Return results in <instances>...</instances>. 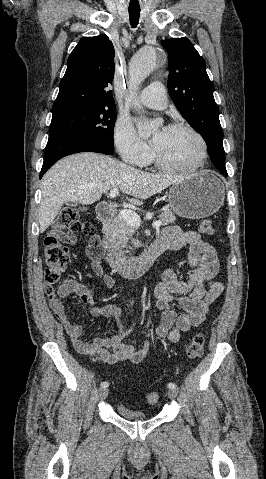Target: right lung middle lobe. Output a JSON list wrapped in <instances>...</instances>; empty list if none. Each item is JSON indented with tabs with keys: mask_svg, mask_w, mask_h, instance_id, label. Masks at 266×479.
I'll return each instance as SVG.
<instances>
[{
	"mask_svg": "<svg viewBox=\"0 0 266 479\" xmlns=\"http://www.w3.org/2000/svg\"><path fill=\"white\" fill-rule=\"evenodd\" d=\"M115 108L70 109L53 113L49 134L84 137L114 146Z\"/></svg>",
	"mask_w": 266,
	"mask_h": 479,
	"instance_id": "dd1d6c3e",
	"label": "right lung middle lobe"
}]
</instances>
